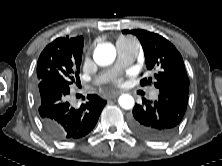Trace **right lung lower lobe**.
I'll use <instances>...</instances> for the list:
<instances>
[{
	"label": "right lung lower lobe",
	"mask_w": 222,
	"mask_h": 166,
	"mask_svg": "<svg viewBox=\"0 0 222 166\" xmlns=\"http://www.w3.org/2000/svg\"><path fill=\"white\" fill-rule=\"evenodd\" d=\"M69 84L48 77L38 81L36 101L41 122L48 134L56 140L68 141L87 135L96 125L106 101L97 95H88V101L73 108L66 101Z\"/></svg>",
	"instance_id": "1"
}]
</instances>
